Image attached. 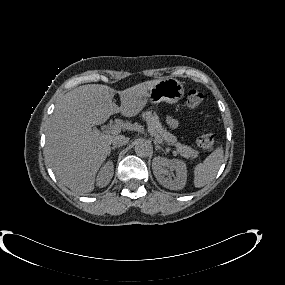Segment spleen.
<instances>
[{
  "label": "spleen",
  "mask_w": 285,
  "mask_h": 285,
  "mask_svg": "<svg viewBox=\"0 0 285 285\" xmlns=\"http://www.w3.org/2000/svg\"><path fill=\"white\" fill-rule=\"evenodd\" d=\"M223 148L219 146L202 163L194 168V185L197 188L210 183L216 176L223 162Z\"/></svg>",
  "instance_id": "obj_1"
}]
</instances>
